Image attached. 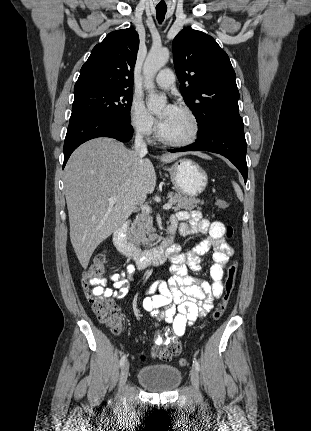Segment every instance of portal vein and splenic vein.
<instances>
[{
  "mask_svg": "<svg viewBox=\"0 0 311 431\" xmlns=\"http://www.w3.org/2000/svg\"><path fill=\"white\" fill-rule=\"evenodd\" d=\"M118 202L117 198H109V204L110 206H113V204H116ZM173 204L172 202H169V204H164L163 210H171ZM142 212H145V214H150L151 208L150 206H141Z\"/></svg>",
  "mask_w": 311,
  "mask_h": 431,
  "instance_id": "1",
  "label": "portal vein and splenic vein"
}]
</instances>
